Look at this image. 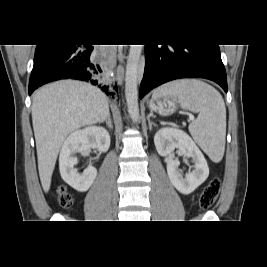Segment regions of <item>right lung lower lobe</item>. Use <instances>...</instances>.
<instances>
[{"label": "right lung lower lobe", "mask_w": 267, "mask_h": 267, "mask_svg": "<svg viewBox=\"0 0 267 267\" xmlns=\"http://www.w3.org/2000/svg\"><path fill=\"white\" fill-rule=\"evenodd\" d=\"M102 58L91 45H37L29 95L46 83L75 79L90 82L113 96L118 88L108 81Z\"/></svg>", "instance_id": "right-lung-lower-lobe-1"}]
</instances>
